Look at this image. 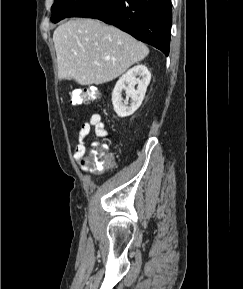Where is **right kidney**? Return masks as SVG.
Listing matches in <instances>:
<instances>
[{
	"label": "right kidney",
	"instance_id": "ca27d5eb",
	"mask_svg": "<svg viewBox=\"0 0 243 289\" xmlns=\"http://www.w3.org/2000/svg\"><path fill=\"white\" fill-rule=\"evenodd\" d=\"M150 80L151 73L145 65H136L120 77L112 93L113 108L119 117L130 116L140 107ZM123 90L127 95L124 102L121 97ZM129 98L131 104L128 106Z\"/></svg>",
	"mask_w": 243,
	"mask_h": 289
}]
</instances>
